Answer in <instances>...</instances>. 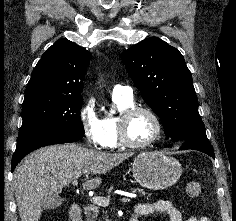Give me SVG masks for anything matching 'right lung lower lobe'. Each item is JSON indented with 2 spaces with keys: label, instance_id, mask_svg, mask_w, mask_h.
<instances>
[{
  "label": "right lung lower lobe",
  "instance_id": "right-lung-lower-lobe-1",
  "mask_svg": "<svg viewBox=\"0 0 236 221\" xmlns=\"http://www.w3.org/2000/svg\"><path fill=\"white\" fill-rule=\"evenodd\" d=\"M81 138V134L47 129L33 130L20 135L18 136L16 150L12 157L11 171L13 172L24 156L35 149L52 144L71 143Z\"/></svg>",
  "mask_w": 236,
  "mask_h": 221
}]
</instances>
